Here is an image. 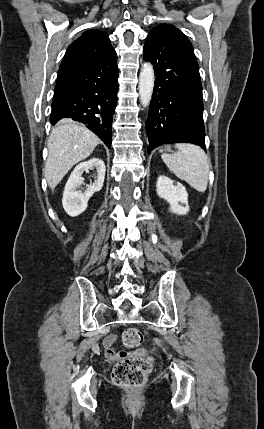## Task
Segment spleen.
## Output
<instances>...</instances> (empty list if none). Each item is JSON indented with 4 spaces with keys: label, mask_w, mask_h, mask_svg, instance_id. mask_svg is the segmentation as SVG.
<instances>
[{
    "label": "spleen",
    "mask_w": 264,
    "mask_h": 429,
    "mask_svg": "<svg viewBox=\"0 0 264 429\" xmlns=\"http://www.w3.org/2000/svg\"><path fill=\"white\" fill-rule=\"evenodd\" d=\"M174 154H162V160L179 179L198 192H205L208 185L210 163L204 150L190 143H178Z\"/></svg>",
    "instance_id": "obj_1"
}]
</instances>
